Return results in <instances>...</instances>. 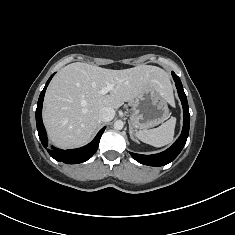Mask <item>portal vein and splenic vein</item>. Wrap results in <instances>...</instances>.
<instances>
[{"instance_id": "obj_1", "label": "portal vein and splenic vein", "mask_w": 235, "mask_h": 235, "mask_svg": "<svg viewBox=\"0 0 235 235\" xmlns=\"http://www.w3.org/2000/svg\"><path fill=\"white\" fill-rule=\"evenodd\" d=\"M113 89H114V85L108 84L107 86L103 87V88L100 90V94L105 95V94H107L108 92L112 91Z\"/></svg>"}]
</instances>
